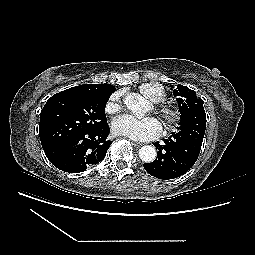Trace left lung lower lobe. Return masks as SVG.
<instances>
[{"mask_svg": "<svg viewBox=\"0 0 255 255\" xmlns=\"http://www.w3.org/2000/svg\"><path fill=\"white\" fill-rule=\"evenodd\" d=\"M206 121L179 127L178 133L164 140V144L154 143L158 149L157 159L144 163L145 170L159 179H174L185 174L196 162L205 134Z\"/></svg>", "mask_w": 255, "mask_h": 255, "instance_id": "0a47b994", "label": "left lung lower lobe"}]
</instances>
